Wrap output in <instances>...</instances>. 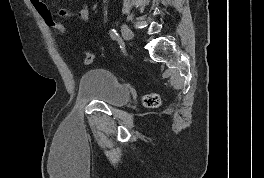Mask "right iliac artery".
I'll use <instances>...</instances> for the list:
<instances>
[{
  "mask_svg": "<svg viewBox=\"0 0 264 178\" xmlns=\"http://www.w3.org/2000/svg\"><path fill=\"white\" fill-rule=\"evenodd\" d=\"M109 34H110V37L113 39V40H116L118 41L120 39L119 37V34L117 33V31L115 29H111L109 31Z\"/></svg>",
  "mask_w": 264,
  "mask_h": 178,
  "instance_id": "1",
  "label": "right iliac artery"
}]
</instances>
